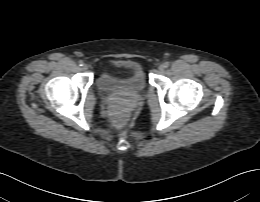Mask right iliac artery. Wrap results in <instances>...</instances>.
<instances>
[{"instance_id": "right-iliac-artery-1", "label": "right iliac artery", "mask_w": 260, "mask_h": 202, "mask_svg": "<svg viewBox=\"0 0 260 202\" xmlns=\"http://www.w3.org/2000/svg\"><path fill=\"white\" fill-rule=\"evenodd\" d=\"M78 64H79V66H83V65H84V62H83L82 60H80V61L78 62Z\"/></svg>"}]
</instances>
